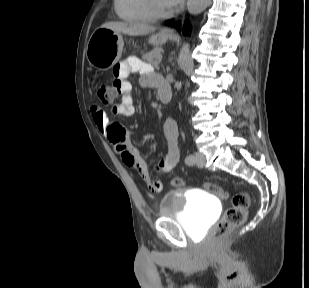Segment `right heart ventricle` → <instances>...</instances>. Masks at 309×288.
I'll use <instances>...</instances> for the list:
<instances>
[{"mask_svg": "<svg viewBox=\"0 0 309 288\" xmlns=\"http://www.w3.org/2000/svg\"><path fill=\"white\" fill-rule=\"evenodd\" d=\"M116 13L132 23H149L155 20L147 0H114Z\"/></svg>", "mask_w": 309, "mask_h": 288, "instance_id": "1", "label": "right heart ventricle"}]
</instances>
